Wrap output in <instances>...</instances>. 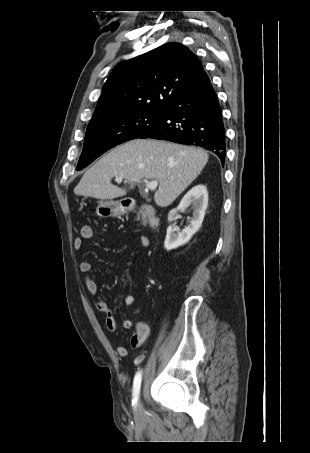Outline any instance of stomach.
Segmentation results:
<instances>
[{
  "instance_id": "0dacf381",
  "label": "stomach",
  "mask_w": 310,
  "mask_h": 453,
  "mask_svg": "<svg viewBox=\"0 0 310 453\" xmlns=\"http://www.w3.org/2000/svg\"><path fill=\"white\" fill-rule=\"evenodd\" d=\"M128 211L124 200L120 201H100L98 207L96 208V213L102 218L107 217H118L125 214Z\"/></svg>"
}]
</instances>
